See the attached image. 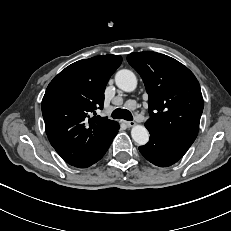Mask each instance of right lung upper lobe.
Here are the masks:
<instances>
[{
  "instance_id": "cb5924a9",
  "label": "right lung upper lobe",
  "mask_w": 231,
  "mask_h": 231,
  "mask_svg": "<svg viewBox=\"0 0 231 231\" xmlns=\"http://www.w3.org/2000/svg\"><path fill=\"white\" fill-rule=\"evenodd\" d=\"M121 62L119 55L77 61L61 71L46 89L42 115L48 139L72 166L86 167L118 127L117 122L96 116V110L103 107L105 86Z\"/></svg>"
}]
</instances>
